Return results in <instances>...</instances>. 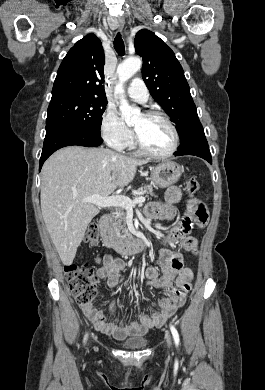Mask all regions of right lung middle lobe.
<instances>
[{
    "label": "right lung middle lobe",
    "mask_w": 265,
    "mask_h": 390,
    "mask_svg": "<svg viewBox=\"0 0 265 390\" xmlns=\"http://www.w3.org/2000/svg\"><path fill=\"white\" fill-rule=\"evenodd\" d=\"M106 99L94 97H63L50 101L46 125L70 124L100 135L101 116Z\"/></svg>",
    "instance_id": "obj_1"
}]
</instances>
